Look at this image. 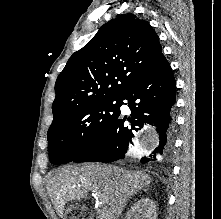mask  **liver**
<instances>
[{
    "label": "liver",
    "instance_id": "obj_1",
    "mask_svg": "<svg viewBox=\"0 0 221 219\" xmlns=\"http://www.w3.org/2000/svg\"><path fill=\"white\" fill-rule=\"evenodd\" d=\"M151 177L117 166L91 164L58 169L47 183V192L59 216L66 202L86 199L94 192L108 204L110 215H120L131 196L147 188Z\"/></svg>",
    "mask_w": 221,
    "mask_h": 219
}]
</instances>
